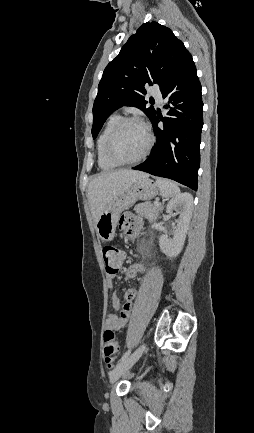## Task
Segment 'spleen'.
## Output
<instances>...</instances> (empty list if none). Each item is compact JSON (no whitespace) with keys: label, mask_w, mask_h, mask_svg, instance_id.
<instances>
[{"label":"spleen","mask_w":254,"mask_h":433,"mask_svg":"<svg viewBox=\"0 0 254 433\" xmlns=\"http://www.w3.org/2000/svg\"><path fill=\"white\" fill-rule=\"evenodd\" d=\"M156 184L160 189L162 197L171 198L180 193L178 185L169 179L157 178Z\"/></svg>","instance_id":"3e777b00"}]
</instances>
